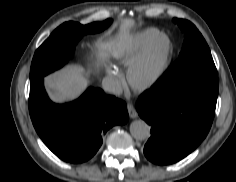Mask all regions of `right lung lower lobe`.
I'll return each instance as SVG.
<instances>
[{"label":"right lung lower lobe","mask_w":236,"mask_h":182,"mask_svg":"<svg viewBox=\"0 0 236 182\" xmlns=\"http://www.w3.org/2000/svg\"><path fill=\"white\" fill-rule=\"evenodd\" d=\"M29 112L45 145L70 163L89 160L102 145L107 130L128 121L126 104L98 88H88L71 103H53L42 77L30 81Z\"/></svg>","instance_id":"obj_1"}]
</instances>
